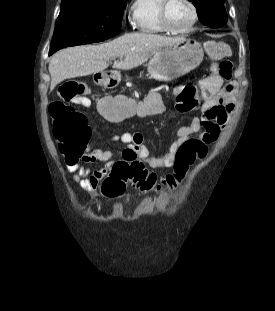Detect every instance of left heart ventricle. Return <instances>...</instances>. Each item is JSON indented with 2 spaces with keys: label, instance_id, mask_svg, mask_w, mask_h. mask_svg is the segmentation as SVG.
<instances>
[{
  "label": "left heart ventricle",
  "instance_id": "left-heart-ventricle-1",
  "mask_svg": "<svg viewBox=\"0 0 275 311\" xmlns=\"http://www.w3.org/2000/svg\"><path fill=\"white\" fill-rule=\"evenodd\" d=\"M168 18L174 28L181 29L192 20V10L185 0H172L168 9Z\"/></svg>",
  "mask_w": 275,
  "mask_h": 311
}]
</instances>
